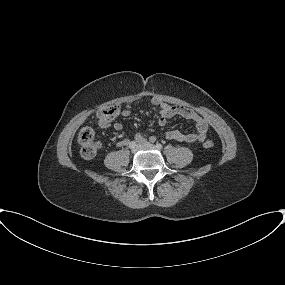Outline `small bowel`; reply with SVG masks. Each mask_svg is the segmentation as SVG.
Here are the masks:
<instances>
[{
  "instance_id": "1",
  "label": "small bowel",
  "mask_w": 285,
  "mask_h": 285,
  "mask_svg": "<svg viewBox=\"0 0 285 285\" xmlns=\"http://www.w3.org/2000/svg\"><path fill=\"white\" fill-rule=\"evenodd\" d=\"M148 99L149 102L152 104L153 109L158 113V125L164 127L168 120L173 117H181L187 120H190L194 123L196 132L195 133H183L179 130H170L166 132V138L168 140L177 141V142H184V143H196V142H204L209 126L207 121L198 115L195 111L190 108L183 107V106H175L166 103L159 97L156 96H145V97H134L131 99L126 100L122 108L120 110V115L122 117H128L131 114V106L142 100ZM98 126L101 128L108 127V123L102 120L98 121ZM114 129L116 131H121L123 125L120 122L114 123ZM135 141L139 144H143L147 140V136L142 133H138L134 137ZM150 141H155L156 138L154 136L149 137ZM128 140H123L118 143V145H127Z\"/></svg>"
}]
</instances>
